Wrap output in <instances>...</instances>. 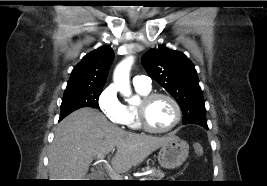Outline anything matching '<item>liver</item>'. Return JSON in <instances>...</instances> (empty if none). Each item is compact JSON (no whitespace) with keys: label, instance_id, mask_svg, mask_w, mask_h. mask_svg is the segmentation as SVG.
I'll return each mask as SVG.
<instances>
[{"label":"liver","instance_id":"6515ba94","mask_svg":"<svg viewBox=\"0 0 267 186\" xmlns=\"http://www.w3.org/2000/svg\"><path fill=\"white\" fill-rule=\"evenodd\" d=\"M157 137L124 131L110 123L97 109L81 108L57 126L49 152L50 180H83L92 159L116 148L111 164L119 173L142 163L167 141Z\"/></svg>","mask_w":267,"mask_h":186}]
</instances>
